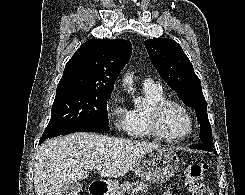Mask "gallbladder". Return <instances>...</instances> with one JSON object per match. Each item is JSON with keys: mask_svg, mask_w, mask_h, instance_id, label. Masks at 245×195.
<instances>
[{"mask_svg": "<svg viewBox=\"0 0 245 195\" xmlns=\"http://www.w3.org/2000/svg\"><path fill=\"white\" fill-rule=\"evenodd\" d=\"M62 191L64 195H78L82 191V185L77 182L66 183Z\"/></svg>", "mask_w": 245, "mask_h": 195, "instance_id": "1", "label": "gallbladder"}]
</instances>
